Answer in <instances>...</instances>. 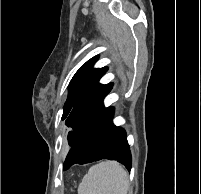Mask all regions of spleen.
Here are the masks:
<instances>
[{
  "mask_svg": "<svg viewBox=\"0 0 201 194\" xmlns=\"http://www.w3.org/2000/svg\"><path fill=\"white\" fill-rule=\"evenodd\" d=\"M128 174L115 161H103L90 167L78 187V194H127Z\"/></svg>",
  "mask_w": 201,
  "mask_h": 194,
  "instance_id": "1",
  "label": "spleen"
}]
</instances>
